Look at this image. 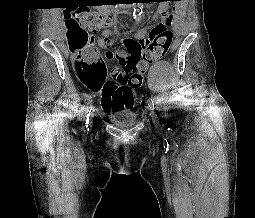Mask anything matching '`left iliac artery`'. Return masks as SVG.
Returning <instances> with one entry per match:
<instances>
[{
  "mask_svg": "<svg viewBox=\"0 0 255 218\" xmlns=\"http://www.w3.org/2000/svg\"><path fill=\"white\" fill-rule=\"evenodd\" d=\"M148 105H149L150 108H153V109H154V102H153L152 99H149Z\"/></svg>",
  "mask_w": 255,
  "mask_h": 218,
  "instance_id": "1",
  "label": "left iliac artery"
}]
</instances>
